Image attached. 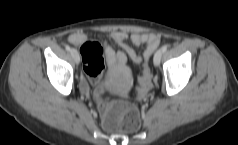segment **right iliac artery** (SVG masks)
Instances as JSON below:
<instances>
[{
  "label": "right iliac artery",
  "mask_w": 238,
  "mask_h": 145,
  "mask_svg": "<svg viewBox=\"0 0 238 145\" xmlns=\"http://www.w3.org/2000/svg\"><path fill=\"white\" fill-rule=\"evenodd\" d=\"M65 48H66L67 51H71V47L69 45H66Z\"/></svg>",
  "instance_id": "obj_1"
}]
</instances>
